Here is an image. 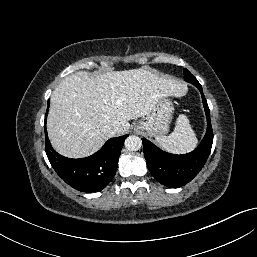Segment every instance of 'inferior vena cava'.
<instances>
[{
    "label": "inferior vena cava",
    "mask_w": 257,
    "mask_h": 257,
    "mask_svg": "<svg viewBox=\"0 0 257 257\" xmlns=\"http://www.w3.org/2000/svg\"><path fill=\"white\" fill-rule=\"evenodd\" d=\"M108 132L113 136L118 132V127L116 126L108 127Z\"/></svg>",
    "instance_id": "obj_1"
}]
</instances>
